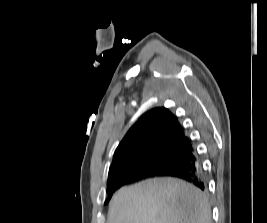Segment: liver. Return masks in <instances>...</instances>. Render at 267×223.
Instances as JSON below:
<instances>
[{
  "label": "liver",
  "mask_w": 267,
  "mask_h": 223,
  "mask_svg": "<svg viewBox=\"0 0 267 223\" xmlns=\"http://www.w3.org/2000/svg\"><path fill=\"white\" fill-rule=\"evenodd\" d=\"M107 223H211V210L206 196L193 185L154 178L118 190Z\"/></svg>",
  "instance_id": "1"
}]
</instances>
